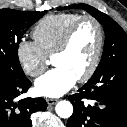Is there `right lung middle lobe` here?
<instances>
[{
  "mask_svg": "<svg viewBox=\"0 0 127 127\" xmlns=\"http://www.w3.org/2000/svg\"><path fill=\"white\" fill-rule=\"evenodd\" d=\"M44 13L45 11L0 10V74L18 80L26 77L19 62L18 45L23 34Z\"/></svg>",
  "mask_w": 127,
  "mask_h": 127,
  "instance_id": "obj_1",
  "label": "right lung middle lobe"
}]
</instances>
